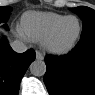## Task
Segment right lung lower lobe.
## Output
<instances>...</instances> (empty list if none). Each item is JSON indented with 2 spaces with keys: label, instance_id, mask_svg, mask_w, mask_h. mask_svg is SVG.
<instances>
[{
  "label": "right lung lower lobe",
  "instance_id": "right-lung-lower-lobe-1",
  "mask_svg": "<svg viewBox=\"0 0 95 95\" xmlns=\"http://www.w3.org/2000/svg\"><path fill=\"white\" fill-rule=\"evenodd\" d=\"M35 52L16 53L6 39L0 42V95H17L20 81L28 66L34 61Z\"/></svg>",
  "mask_w": 95,
  "mask_h": 95
}]
</instances>
